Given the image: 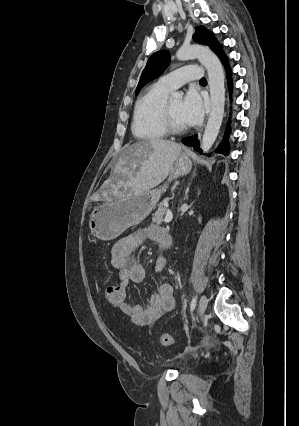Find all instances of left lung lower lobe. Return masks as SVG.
Segmentation results:
<instances>
[{
	"label": "left lung lower lobe",
	"mask_w": 299,
	"mask_h": 426,
	"mask_svg": "<svg viewBox=\"0 0 299 426\" xmlns=\"http://www.w3.org/2000/svg\"><path fill=\"white\" fill-rule=\"evenodd\" d=\"M217 55L225 66L226 74H227V78H228V86H229V89L231 90V88H232L231 70H230V67L228 65V59H227L225 53L222 50H220L217 53ZM229 134H230V124L228 123L227 128H226V132H225V136H224L222 142L220 143L219 147L217 148L218 153H222V154H225V155L228 154V152H229V142H228ZM182 142L187 146H194V149L196 151H198L199 153H202L201 149L199 148V141L197 140V135H194L192 137H186V138L182 139Z\"/></svg>",
	"instance_id": "left-lung-lower-lobe-1"
}]
</instances>
